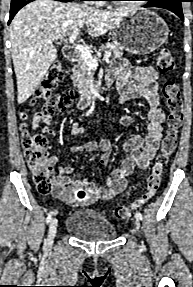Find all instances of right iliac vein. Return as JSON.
Masks as SVG:
<instances>
[{"mask_svg": "<svg viewBox=\"0 0 193 287\" xmlns=\"http://www.w3.org/2000/svg\"><path fill=\"white\" fill-rule=\"evenodd\" d=\"M57 228H58V220L57 218H53L50 222L48 237L45 241V245L47 247H50L53 244L54 238L56 236Z\"/></svg>", "mask_w": 193, "mask_h": 287, "instance_id": "1", "label": "right iliac vein"}]
</instances>
